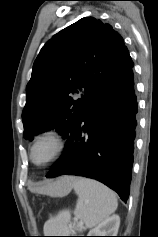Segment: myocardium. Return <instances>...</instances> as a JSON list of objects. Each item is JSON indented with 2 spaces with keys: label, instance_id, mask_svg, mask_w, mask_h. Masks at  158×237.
<instances>
[{
  "label": "myocardium",
  "instance_id": "1",
  "mask_svg": "<svg viewBox=\"0 0 158 237\" xmlns=\"http://www.w3.org/2000/svg\"><path fill=\"white\" fill-rule=\"evenodd\" d=\"M45 139L51 140L55 144V149L52 155L47 160H45L44 162L38 163L34 160V149L40 141L45 140ZM65 148H66V140L64 139L61 133L55 130L44 131L38 134L32 142V145L30 148V154H29L30 161L32 162L33 165L37 167L46 166L52 163L53 161H55L56 159H58L64 152Z\"/></svg>",
  "mask_w": 158,
  "mask_h": 237
}]
</instances>
